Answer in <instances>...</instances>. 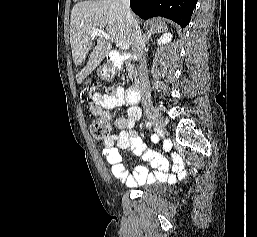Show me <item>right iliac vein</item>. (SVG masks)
<instances>
[{
	"mask_svg": "<svg viewBox=\"0 0 257 237\" xmlns=\"http://www.w3.org/2000/svg\"><path fill=\"white\" fill-rule=\"evenodd\" d=\"M146 114L151 121L155 131L158 133H162L164 124L160 114L153 107H148L146 109Z\"/></svg>",
	"mask_w": 257,
	"mask_h": 237,
	"instance_id": "1",
	"label": "right iliac vein"
}]
</instances>
